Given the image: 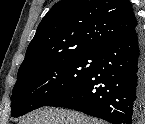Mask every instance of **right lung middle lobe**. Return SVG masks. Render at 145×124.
<instances>
[{
  "mask_svg": "<svg viewBox=\"0 0 145 124\" xmlns=\"http://www.w3.org/2000/svg\"><path fill=\"white\" fill-rule=\"evenodd\" d=\"M98 54H74L48 60L17 77L11 116L18 117L45 106L84 80Z\"/></svg>",
  "mask_w": 145,
  "mask_h": 124,
  "instance_id": "right-lung-middle-lobe-1",
  "label": "right lung middle lobe"
}]
</instances>
